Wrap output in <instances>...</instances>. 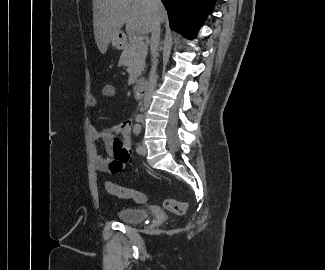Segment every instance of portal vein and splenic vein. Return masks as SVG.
<instances>
[{
    "mask_svg": "<svg viewBox=\"0 0 325 270\" xmlns=\"http://www.w3.org/2000/svg\"><path fill=\"white\" fill-rule=\"evenodd\" d=\"M136 44H137L138 47H144L145 46L144 41L141 40V39H138L137 42H136Z\"/></svg>",
    "mask_w": 325,
    "mask_h": 270,
    "instance_id": "obj_1",
    "label": "portal vein and splenic vein"
}]
</instances>
